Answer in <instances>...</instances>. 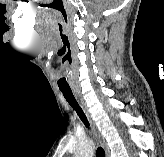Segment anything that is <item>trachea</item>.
<instances>
[{
	"mask_svg": "<svg viewBox=\"0 0 164 157\" xmlns=\"http://www.w3.org/2000/svg\"><path fill=\"white\" fill-rule=\"evenodd\" d=\"M61 92L63 93L65 99L69 103V105L76 111L77 115L81 119V121L85 124V126L89 127V122L87 120V117L85 116L82 108L79 106L78 102L76 101L72 91L70 89H61ZM97 157H105V151L102 147H98L96 151Z\"/></svg>",
	"mask_w": 164,
	"mask_h": 157,
	"instance_id": "obj_1",
	"label": "trachea"
}]
</instances>
